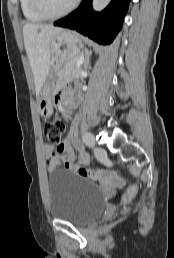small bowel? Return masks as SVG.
<instances>
[{
  "instance_id": "1",
  "label": "small bowel",
  "mask_w": 174,
  "mask_h": 258,
  "mask_svg": "<svg viewBox=\"0 0 174 258\" xmlns=\"http://www.w3.org/2000/svg\"><path fill=\"white\" fill-rule=\"evenodd\" d=\"M77 97L74 89H65L60 92L56 101L62 104L63 98ZM79 121L74 118L68 132L67 138L57 144V146L46 144L44 146V155L49 172L56 170L60 164L75 174L84 176V179H101V184H127V179H116L120 176V171H102L101 167H95L94 171L87 168L89 158L84 151L82 144L78 139ZM89 171H86V170Z\"/></svg>"
}]
</instances>
